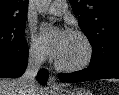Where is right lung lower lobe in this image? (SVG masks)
<instances>
[{
	"label": "right lung lower lobe",
	"instance_id": "98d812e1",
	"mask_svg": "<svg viewBox=\"0 0 119 95\" xmlns=\"http://www.w3.org/2000/svg\"><path fill=\"white\" fill-rule=\"evenodd\" d=\"M28 63V45L20 50L0 51V77L17 78L20 77ZM48 71L42 69L37 75V80L45 85L47 82Z\"/></svg>",
	"mask_w": 119,
	"mask_h": 95
}]
</instances>
